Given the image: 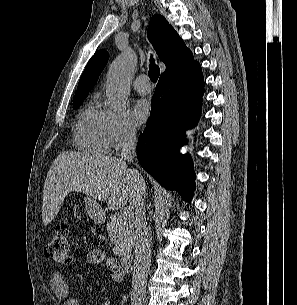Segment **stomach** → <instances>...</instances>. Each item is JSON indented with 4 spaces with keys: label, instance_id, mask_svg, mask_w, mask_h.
I'll return each instance as SVG.
<instances>
[{
    "label": "stomach",
    "instance_id": "1",
    "mask_svg": "<svg viewBox=\"0 0 297 305\" xmlns=\"http://www.w3.org/2000/svg\"><path fill=\"white\" fill-rule=\"evenodd\" d=\"M84 203L87 213L94 222L101 223L104 221V211L93 198L85 197Z\"/></svg>",
    "mask_w": 297,
    "mask_h": 305
}]
</instances>
